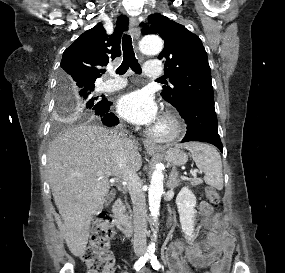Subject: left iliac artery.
<instances>
[{
    "label": "left iliac artery",
    "mask_w": 285,
    "mask_h": 273,
    "mask_svg": "<svg viewBox=\"0 0 285 273\" xmlns=\"http://www.w3.org/2000/svg\"><path fill=\"white\" fill-rule=\"evenodd\" d=\"M149 258H150V263L153 269L158 270L161 268V265L159 261L157 260V257L154 254H152Z\"/></svg>",
    "instance_id": "1"
}]
</instances>
